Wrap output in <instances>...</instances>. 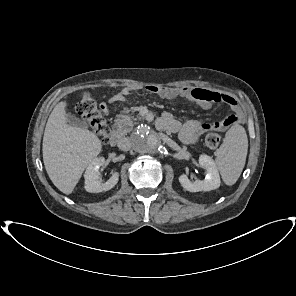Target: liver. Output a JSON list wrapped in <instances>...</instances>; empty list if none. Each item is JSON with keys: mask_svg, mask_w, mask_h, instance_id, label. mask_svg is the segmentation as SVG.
Segmentation results:
<instances>
[{"mask_svg": "<svg viewBox=\"0 0 296 296\" xmlns=\"http://www.w3.org/2000/svg\"><path fill=\"white\" fill-rule=\"evenodd\" d=\"M66 101L51 112L43 136V161L53 184L64 194H71L85 168L101 152L98 136L67 123Z\"/></svg>", "mask_w": 296, "mask_h": 296, "instance_id": "obj_1", "label": "liver"}]
</instances>
